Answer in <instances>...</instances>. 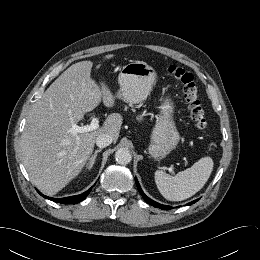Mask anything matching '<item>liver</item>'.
<instances>
[{"mask_svg":"<svg viewBox=\"0 0 260 260\" xmlns=\"http://www.w3.org/2000/svg\"><path fill=\"white\" fill-rule=\"evenodd\" d=\"M108 54L104 60L113 58ZM93 62L81 61L65 70L34 104L21 136L24 165L32 183L43 193L55 195L75 178L103 133L117 141L123 121L118 113L108 115L103 126L91 132H70L73 123L102 101L115 105L107 85L91 79Z\"/></svg>","mask_w":260,"mask_h":260,"instance_id":"liver-1","label":"liver"}]
</instances>
